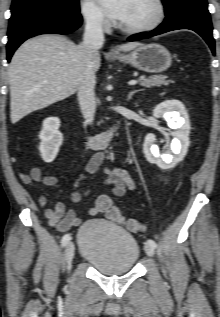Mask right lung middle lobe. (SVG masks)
I'll return each instance as SVG.
<instances>
[{
    "instance_id": "dd1d6c3e",
    "label": "right lung middle lobe",
    "mask_w": 220,
    "mask_h": 317,
    "mask_svg": "<svg viewBox=\"0 0 220 317\" xmlns=\"http://www.w3.org/2000/svg\"><path fill=\"white\" fill-rule=\"evenodd\" d=\"M34 10H52L77 15L79 0H13L11 17Z\"/></svg>"
}]
</instances>
